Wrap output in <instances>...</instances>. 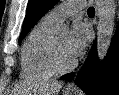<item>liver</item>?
<instances>
[{"label":"liver","mask_w":119,"mask_h":95,"mask_svg":"<svg viewBox=\"0 0 119 95\" xmlns=\"http://www.w3.org/2000/svg\"><path fill=\"white\" fill-rule=\"evenodd\" d=\"M63 84L57 82L56 80L48 81H38L32 84L21 83L17 86V92L15 95H21L23 93H28V95H58Z\"/></svg>","instance_id":"obj_1"}]
</instances>
